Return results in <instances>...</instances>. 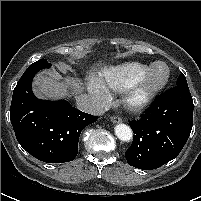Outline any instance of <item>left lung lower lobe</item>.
Instances as JSON below:
<instances>
[{
  "label": "left lung lower lobe",
  "mask_w": 201,
  "mask_h": 201,
  "mask_svg": "<svg viewBox=\"0 0 201 201\" xmlns=\"http://www.w3.org/2000/svg\"><path fill=\"white\" fill-rule=\"evenodd\" d=\"M193 108L188 85H176L161 95L139 120L130 121L134 139L125 152L128 164L152 170L177 157L191 133Z\"/></svg>",
  "instance_id": "0a47b994"
}]
</instances>
